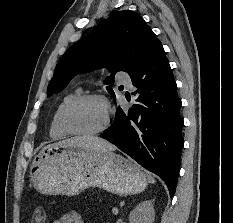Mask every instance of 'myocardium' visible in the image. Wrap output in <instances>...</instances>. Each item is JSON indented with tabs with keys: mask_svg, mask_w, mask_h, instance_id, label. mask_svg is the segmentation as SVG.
Instances as JSON below:
<instances>
[{
	"mask_svg": "<svg viewBox=\"0 0 233 223\" xmlns=\"http://www.w3.org/2000/svg\"><path fill=\"white\" fill-rule=\"evenodd\" d=\"M90 100H100L102 101L105 105H106V99L104 96L99 95V94H85V95H80L76 98H74L73 100H71L62 110L61 114H60V125L61 128L67 132L70 135L73 136H78V137H94V136H98L103 134L104 132H106L110 125H111V117L110 114L107 112V117H106V122L105 124L97 131L95 132H80L75 130L71 124H70V114L73 111V109L81 104L84 103L86 101H90Z\"/></svg>",
	"mask_w": 233,
	"mask_h": 223,
	"instance_id": "f54148a6",
	"label": "myocardium"
}]
</instances>
